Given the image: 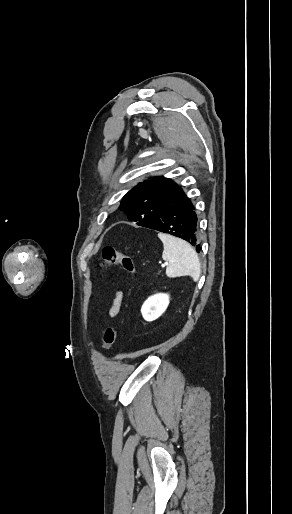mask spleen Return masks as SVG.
<instances>
[{"mask_svg": "<svg viewBox=\"0 0 292 514\" xmlns=\"http://www.w3.org/2000/svg\"><path fill=\"white\" fill-rule=\"evenodd\" d=\"M158 238L164 246L162 258L165 262H169L166 268V276L168 278L191 276L194 282H197L201 274V264L190 244L180 240V238H174L170 234H158Z\"/></svg>", "mask_w": 292, "mask_h": 514, "instance_id": "obj_1", "label": "spleen"}]
</instances>
